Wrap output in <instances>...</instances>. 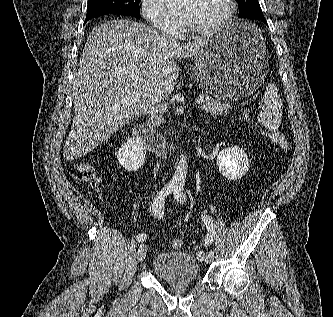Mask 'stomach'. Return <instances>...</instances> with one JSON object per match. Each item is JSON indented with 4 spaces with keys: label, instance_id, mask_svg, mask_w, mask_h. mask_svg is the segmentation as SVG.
<instances>
[{
    "label": "stomach",
    "instance_id": "1",
    "mask_svg": "<svg viewBox=\"0 0 333 317\" xmlns=\"http://www.w3.org/2000/svg\"><path fill=\"white\" fill-rule=\"evenodd\" d=\"M265 49L258 24H230L207 37L196 57V81L219 100L262 95L266 86Z\"/></svg>",
    "mask_w": 333,
    "mask_h": 317
}]
</instances>
